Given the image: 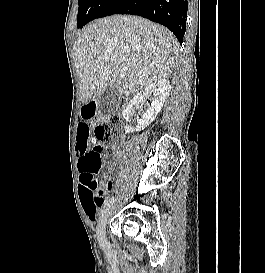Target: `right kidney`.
I'll return each mask as SVG.
<instances>
[{
	"instance_id": "right-kidney-1",
	"label": "right kidney",
	"mask_w": 265,
	"mask_h": 273,
	"mask_svg": "<svg viewBox=\"0 0 265 273\" xmlns=\"http://www.w3.org/2000/svg\"><path fill=\"white\" fill-rule=\"evenodd\" d=\"M169 90L170 82L167 79H159L148 85L143 92L138 93L123 110V117L126 121L129 120L133 106L141 104L143 99L151 93H153L154 97L151 98V102L148 104L147 110L142 114L137 127L133 128L128 125L125 126L126 133L144 130L149 124H151L161 111Z\"/></svg>"
}]
</instances>
